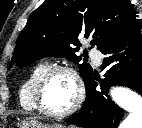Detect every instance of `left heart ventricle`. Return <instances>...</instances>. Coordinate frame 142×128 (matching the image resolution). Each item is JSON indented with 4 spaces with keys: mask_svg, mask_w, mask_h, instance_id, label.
<instances>
[{
    "mask_svg": "<svg viewBox=\"0 0 142 128\" xmlns=\"http://www.w3.org/2000/svg\"><path fill=\"white\" fill-rule=\"evenodd\" d=\"M75 93L72 77L65 72L55 73L45 85L42 95L43 106L51 112H63L74 102Z\"/></svg>",
    "mask_w": 142,
    "mask_h": 128,
    "instance_id": "obj_1",
    "label": "left heart ventricle"
}]
</instances>
